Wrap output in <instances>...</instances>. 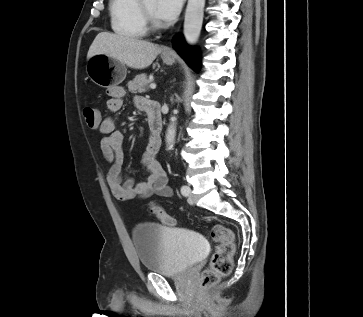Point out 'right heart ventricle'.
Wrapping results in <instances>:
<instances>
[{
    "mask_svg": "<svg viewBox=\"0 0 363 317\" xmlns=\"http://www.w3.org/2000/svg\"><path fill=\"white\" fill-rule=\"evenodd\" d=\"M139 0H110L109 10L112 30L119 36L142 38L147 27L138 9Z\"/></svg>",
    "mask_w": 363,
    "mask_h": 317,
    "instance_id": "right-heart-ventricle-1",
    "label": "right heart ventricle"
}]
</instances>
